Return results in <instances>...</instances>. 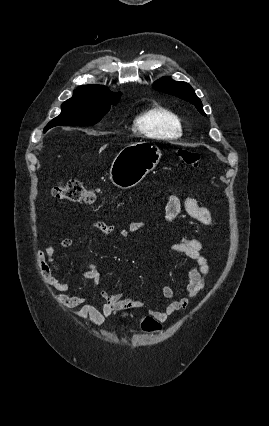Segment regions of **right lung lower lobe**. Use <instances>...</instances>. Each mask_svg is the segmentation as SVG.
<instances>
[{"label": "right lung lower lobe", "mask_w": 269, "mask_h": 426, "mask_svg": "<svg viewBox=\"0 0 269 426\" xmlns=\"http://www.w3.org/2000/svg\"><path fill=\"white\" fill-rule=\"evenodd\" d=\"M50 128H51V127H46V128H45V130H44V132H46V131H47L48 129H50Z\"/></svg>", "instance_id": "obj_1"}]
</instances>
